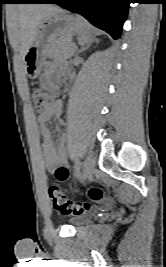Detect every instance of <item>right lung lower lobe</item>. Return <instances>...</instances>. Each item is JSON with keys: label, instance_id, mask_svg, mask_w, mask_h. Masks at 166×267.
<instances>
[{"label": "right lung lower lobe", "instance_id": "right-lung-lower-lobe-1", "mask_svg": "<svg viewBox=\"0 0 166 267\" xmlns=\"http://www.w3.org/2000/svg\"><path fill=\"white\" fill-rule=\"evenodd\" d=\"M36 1H37V0H35V1H28V2H33V3H34V2H36Z\"/></svg>", "mask_w": 166, "mask_h": 267}]
</instances>
